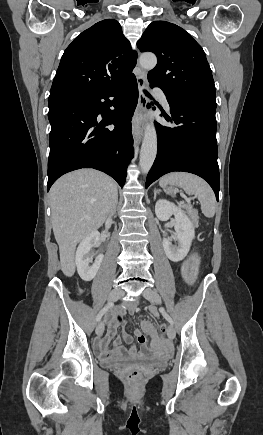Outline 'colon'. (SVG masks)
Returning <instances> with one entry per match:
<instances>
[{
    "instance_id": "colon-1",
    "label": "colon",
    "mask_w": 263,
    "mask_h": 435,
    "mask_svg": "<svg viewBox=\"0 0 263 435\" xmlns=\"http://www.w3.org/2000/svg\"><path fill=\"white\" fill-rule=\"evenodd\" d=\"M158 327L160 328V332L166 331L165 324H160ZM125 378H126V380H128L131 383H136V382L140 381V379L142 378V374L138 370H131L130 372H128L126 374Z\"/></svg>"
}]
</instances>
